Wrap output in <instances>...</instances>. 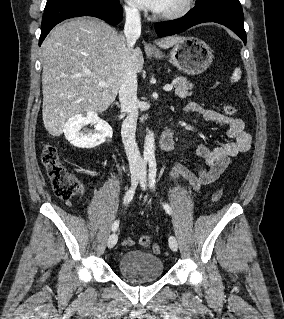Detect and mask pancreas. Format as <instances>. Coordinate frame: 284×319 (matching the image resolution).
<instances>
[{
	"instance_id": "cf45deb5",
	"label": "pancreas",
	"mask_w": 284,
	"mask_h": 319,
	"mask_svg": "<svg viewBox=\"0 0 284 319\" xmlns=\"http://www.w3.org/2000/svg\"><path fill=\"white\" fill-rule=\"evenodd\" d=\"M174 86L175 94L178 95L180 98H186L187 96L191 95L188 90H190L193 85L192 83L187 81L185 77H177Z\"/></svg>"
}]
</instances>
